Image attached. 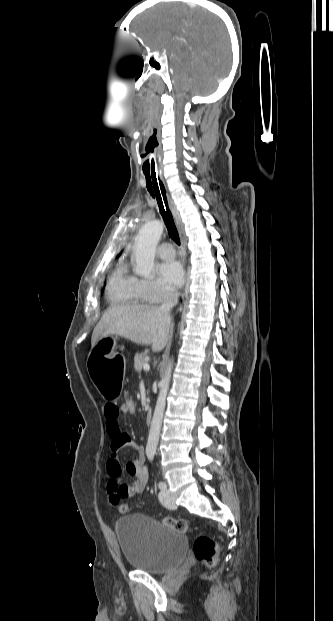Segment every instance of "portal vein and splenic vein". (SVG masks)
Segmentation results:
<instances>
[{"label": "portal vein and splenic vein", "instance_id": "18ae733b", "mask_svg": "<svg viewBox=\"0 0 333 621\" xmlns=\"http://www.w3.org/2000/svg\"><path fill=\"white\" fill-rule=\"evenodd\" d=\"M143 369H144L145 371L149 370V369H150L149 364H148V363H145V364L143 365Z\"/></svg>", "mask_w": 333, "mask_h": 621}]
</instances>
